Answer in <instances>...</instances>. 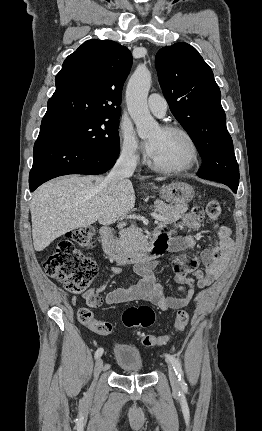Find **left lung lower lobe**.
I'll use <instances>...</instances> for the list:
<instances>
[{"instance_id": "0a47b994", "label": "left lung lower lobe", "mask_w": 262, "mask_h": 431, "mask_svg": "<svg viewBox=\"0 0 262 431\" xmlns=\"http://www.w3.org/2000/svg\"><path fill=\"white\" fill-rule=\"evenodd\" d=\"M200 177V176H199ZM229 187L231 188V190L236 193L237 192V186H233V185H229Z\"/></svg>"}]
</instances>
